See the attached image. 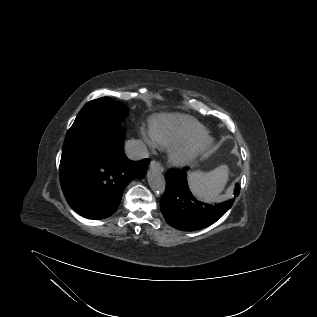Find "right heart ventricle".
Masks as SVG:
<instances>
[{"label":"right heart ventricle","instance_id":"e07e8e85","mask_svg":"<svg viewBox=\"0 0 317 317\" xmlns=\"http://www.w3.org/2000/svg\"><path fill=\"white\" fill-rule=\"evenodd\" d=\"M150 131L157 145L172 147L183 140L204 134L205 127L187 115L157 114L150 119Z\"/></svg>","mask_w":317,"mask_h":317}]
</instances>
